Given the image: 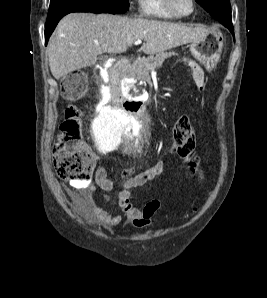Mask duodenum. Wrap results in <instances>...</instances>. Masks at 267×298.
<instances>
[{"instance_id":"1","label":"duodenum","mask_w":267,"mask_h":298,"mask_svg":"<svg viewBox=\"0 0 267 298\" xmlns=\"http://www.w3.org/2000/svg\"><path fill=\"white\" fill-rule=\"evenodd\" d=\"M130 65L127 58L121 59L117 67H112V75H109L107 89L115 92V101H112L113 112H120V115H152V104H145V100H139V93H126V84L123 80L129 76L126 71Z\"/></svg>"}]
</instances>
